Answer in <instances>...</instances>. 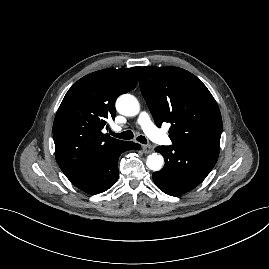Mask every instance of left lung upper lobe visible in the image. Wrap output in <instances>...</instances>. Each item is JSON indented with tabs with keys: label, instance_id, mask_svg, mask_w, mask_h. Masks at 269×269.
Wrapping results in <instances>:
<instances>
[{
	"label": "left lung upper lobe",
	"instance_id": "obj_1",
	"mask_svg": "<svg viewBox=\"0 0 269 269\" xmlns=\"http://www.w3.org/2000/svg\"><path fill=\"white\" fill-rule=\"evenodd\" d=\"M139 84L157 126L171 123L173 145L220 149L221 113L196 76L178 67H143Z\"/></svg>",
	"mask_w": 269,
	"mask_h": 269
}]
</instances>
